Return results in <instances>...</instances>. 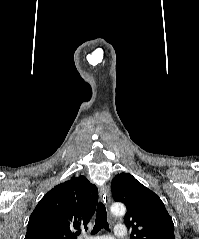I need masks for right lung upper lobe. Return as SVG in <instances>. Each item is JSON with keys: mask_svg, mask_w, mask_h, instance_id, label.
I'll return each mask as SVG.
<instances>
[{"mask_svg": "<svg viewBox=\"0 0 199 239\" xmlns=\"http://www.w3.org/2000/svg\"><path fill=\"white\" fill-rule=\"evenodd\" d=\"M98 202V189L85 176L55 186L32 212L25 239H77L87 229Z\"/></svg>", "mask_w": 199, "mask_h": 239, "instance_id": "1", "label": "right lung upper lobe"}]
</instances>
